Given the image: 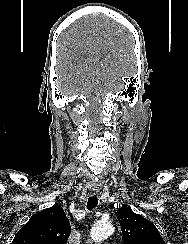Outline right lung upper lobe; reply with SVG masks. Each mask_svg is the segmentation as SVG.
I'll use <instances>...</instances> for the list:
<instances>
[{"label": "right lung upper lobe", "instance_id": "obj_1", "mask_svg": "<svg viewBox=\"0 0 188 244\" xmlns=\"http://www.w3.org/2000/svg\"><path fill=\"white\" fill-rule=\"evenodd\" d=\"M70 232L64 210L54 205L34 214L17 232L12 244H65Z\"/></svg>", "mask_w": 188, "mask_h": 244}]
</instances>
